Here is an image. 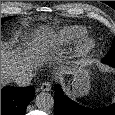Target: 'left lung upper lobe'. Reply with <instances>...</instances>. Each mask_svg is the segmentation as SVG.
Here are the masks:
<instances>
[{"instance_id":"1","label":"left lung upper lobe","mask_w":115,"mask_h":115,"mask_svg":"<svg viewBox=\"0 0 115 115\" xmlns=\"http://www.w3.org/2000/svg\"><path fill=\"white\" fill-rule=\"evenodd\" d=\"M104 63H115V38L109 53L102 60Z\"/></svg>"}]
</instances>
